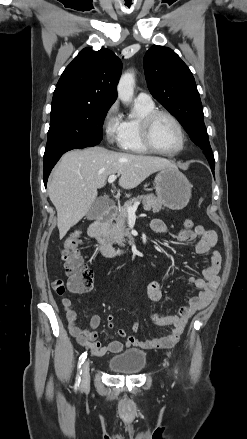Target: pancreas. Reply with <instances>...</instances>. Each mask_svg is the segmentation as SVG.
I'll return each mask as SVG.
<instances>
[{
	"instance_id": "obj_1",
	"label": "pancreas",
	"mask_w": 247,
	"mask_h": 439,
	"mask_svg": "<svg viewBox=\"0 0 247 439\" xmlns=\"http://www.w3.org/2000/svg\"><path fill=\"white\" fill-rule=\"evenodd\" d=\"M136 202H142L144 210L152 211L153 213H158L163 209L162 203L153 194L140 195L126 201L124 206L119 208L115 223L111 224L108 230L110 240L119 246H124L125 237L131 238L130 231L127 228V208Z\"/></svg>"
}]
</instances>
